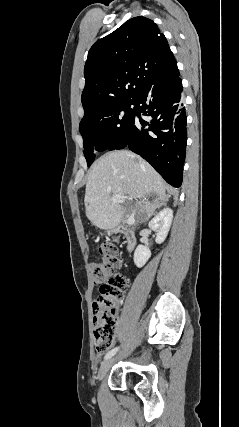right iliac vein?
<instances>
[{
  "label": "right iliac vein",
  "instance_id": "right-iliac-vein-1",
  "mask_svg": "<svg viewBox=\"0 0 239 427\" xmlns=\"http://www.w3.org/2000/svg\"><path fill=\"white\" fill-rule=\"evenodd\" d=\"M114 360H115L114 358L108 359L101 364L100 369L98 371L99 380H102L105 377L106 373L108 372L109 368L113 364Z\"/></svg>",
  "mask_w": 239,
  "mask_h": 427
}]
</instances>
